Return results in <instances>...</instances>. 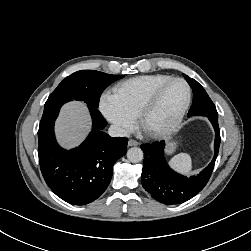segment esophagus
Here are the masks:
<instances>
[{
  "instance_id": "esophagus-1",
  "label": "esophagus",
  "mask_w": 251,
  "mask_h": 251,
  "mask_svg": "<svg viewBox=\"0 0 251 251\" xmlns=\"http://www.w3.org/2000/svg\"><path fill=\"white\" fill-rule=\"evenodd\" d=\"M139 143L136 140L130 139L128 141V146H137Z\"/></svg>"
}]
</instances>
